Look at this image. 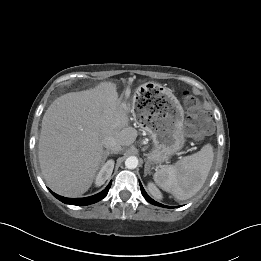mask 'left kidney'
<instances>
[{
    "mask_svg": "<svg viewBox=\"0 0 261 261\" xmlns=\"http://www.w3.org/2000/svg\"><path fill=\"white\" fill-rule=\"evenodd\" d=\"M148 191L157 199H162V194L159 191V189L156 187V185L152 182H149L147 184Z\"/></svg>",
    "mask_w": 261,
    "mask_h": 261,
    "instance_id": "5707ae66",
    "label": "left kidney"
}]
</instances>
